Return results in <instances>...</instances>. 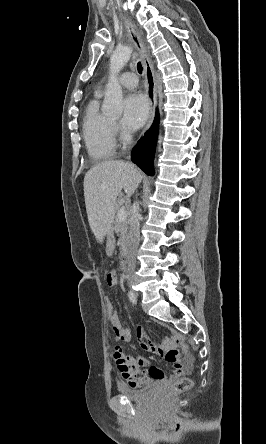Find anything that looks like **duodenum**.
I'll return each instance as SVG.
<instances>
[{
	"label": "duodenum",
	"mask_w": 266,
	"mask_h": 444,
	"mask_svg": "<svg viewBox=\"0 0 266 444\" xmlns=\"http://www.w3.org/2000/svg\"><path fill=\"white\" fill-rule=\"evenodd\" d=\"M122 269L125 271L126 270V264L124 263L122 266Z\"/></svg>",
	"instance_id": "1"
}]
</instances>
